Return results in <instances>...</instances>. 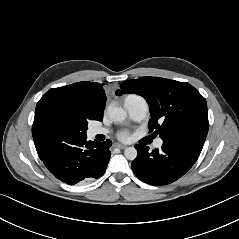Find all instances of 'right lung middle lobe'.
Segmentation results:
<instances>
[{"label": "right lung middle lobe", "instance_id": "dd1d6c3e", "mask_svg": "<svg viewBox=\"0 0 239 239\" xmlns=\"http://www.w3.org/2000/svg\"><path fill=\"white\" fill-rule=\"evenodd\" d=\"M88 118L80 108L64 101H39L32 135L36 147L43 148L70 136L86 135Z\"/></svg>", "mask_w": 239, "mask_h": 239}]
</instances>
